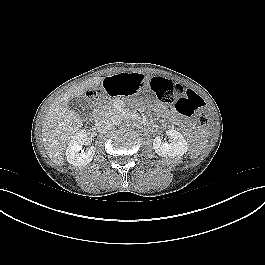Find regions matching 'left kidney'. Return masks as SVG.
<instances>
[{
  "label": "left kidney",
  "instance_id": "obj_1",
  "mask_svg": "<svg viewBox=\"0 0 265 265\" xmlns=\"http://www.w3.org/2000/svg\"><path fill=\"white\" fill-rule=\"evenodd\" d=\"M166 134L172 139L170 143L163 142L159 136L153 141V148L159 156L175 157L187 152V141L180 132L170 129L166 131Z\"/></svg>",
  "mask_w": 265,
  "mask_h": 265
}]
</instances>
